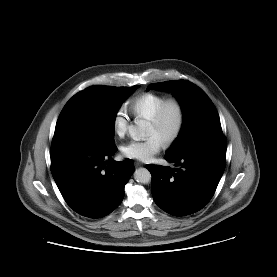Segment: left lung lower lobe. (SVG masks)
<instances>
[{
  "instance_id": "obj_1",
  "label": "left lung lower lobe",
  "mask_w": 277,
  "mask_h": 277,
  "mask_svg": "<svg viewBox=\"0 0 277 277\" xmlns=\"http://www.w3.org/2000/svg\"><path fill=\"white\" fill-rule=\"evenodd\" d=\"M224 135L205 137L177 157L165 156L180 168L146 165L152 175L155 203L173 216L202 209L212 198L226 164Z\"/></svg>"
}]
</instances>
